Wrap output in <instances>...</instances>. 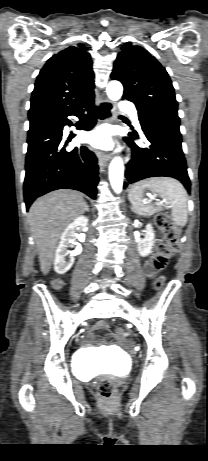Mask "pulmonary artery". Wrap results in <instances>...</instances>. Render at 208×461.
<instances>
[{
	"mask_svg": "<svg viewBox=\"0 0 208 461\" xmlns=\"http://www.w3.org/2000/svg\"><path fill=\"white\" fill-rule=\"evenodd\" d=\"M120 109L123 112L128 113L132 117L134 123L138 124L137 111H136V109H135V107L133 105L128 104V103H122L121 106H120Z\"/></svg>",
	"mask_w": 208,
	"mask_h": 461,
	"instance_id": "1",
	"label": "pulmonary artery"
}]
</instances>
